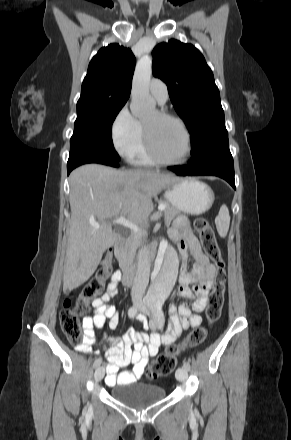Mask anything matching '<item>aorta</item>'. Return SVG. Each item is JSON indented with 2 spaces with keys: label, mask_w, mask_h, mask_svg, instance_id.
Returning <instances> with one entry per match:
<instances>
[{
  "label": "aorta",
  "mask_w": 291,
  "mask_h": 440,
  "mask_svg": "<svg viewBox=\"0 0 291 440\" xmlns=\"http://www.w3.org/2000/svg\"><path fill=\"white\" fill-rule=\"evenodd\" d=\"M151 76L152 58L144 55L136 64L130 104L132 115L140 119L154 112L156 108V102L149 93ZM177 262V253L174 248L168 243L162 242L157 267L147 295L149 305H160L169 295L176 279Z\"/></svg>",
  "instance_id": "aorta-1"
}]
</instances>
